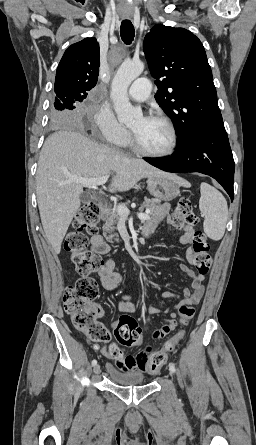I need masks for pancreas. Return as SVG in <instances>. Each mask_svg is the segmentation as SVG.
Here are the masks:
<instances>
[{"mask_svg": "<svg viewBox=\"0 0 256 445\" xmlns=\"http://www.w3.org/2000/svg\"><path fill=\"white\" fill-rule=\"evenodd\" d=\"M159 199H147L143 204L141 205L142 208L148 209L150 212V215L154 216V220H161L163 219L167 213L168 210L163 209V207L160 205ZM123 206H126L127 203L122 204ZM120 220V215L117 212L116 207H111L106 210V215L104 217L105 224L103 225V234L106 237V239L110 242L113 240L118 241L117 234H112V231L115 229V225H117L118 221Z\"/></svg>", "mask_w": 256, "mask_h": 445, "instance_id": "obj_1", "label": "pancreas"}]
</instances>
